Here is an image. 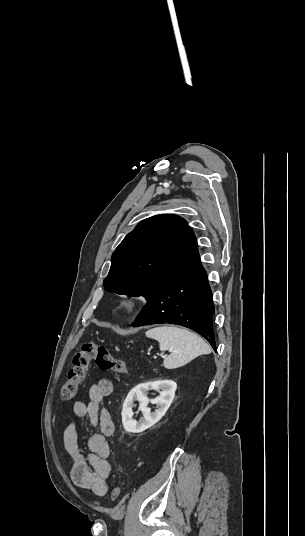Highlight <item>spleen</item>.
Segmentation results:
<instances>
[{"mask_svg": "<svg viewBox=\"0 0 305 536\" xmlns=\"http://www.w3.org/2000/svg\"><path fill=\"white\" fill-rule=\"evenodd\" d=\"M147 338H153L159 342L161 352L171 350L170 356H167L163 362L167 370H175L185 366L197 356L210 354L211 348L200 336L189 332L187 328H178V326H160L152 328L146 332Z\"/></svg>", "mask_w": 305, "mask_h": 536, "instance_id": "spleen-1", "label": "spleen"}]
</instances>
